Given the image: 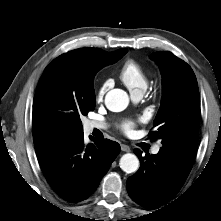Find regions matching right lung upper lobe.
Wrapping results in <instances>:
<instances>
[{
    "mask_svg": "<svg viewBox=\"0 0 221 221\" xmlns=\"http://www.w3.org/2000/svg\"><path fill=\"white\" fill-rule=\"evenodd\" d=\"M125 51H127V49H119L114 52H106L98 48H81L65 53L57 58L66 59L70 63L82 66L85 65L86 63H91L95 61L99 62L104 58H108L115 55H121ZM32 123H33V138L35 146L43 144L52 139L71 135L65 132L52 130L42 119L37 118L35 116L33 117Z\"/></svg>",
    "mask_w": 221,
    "mask_h": 221,
    "instance_id": "right-lung-upper-lobe-1",
    "label": "right lung upper lobe"
}]
</instances>
